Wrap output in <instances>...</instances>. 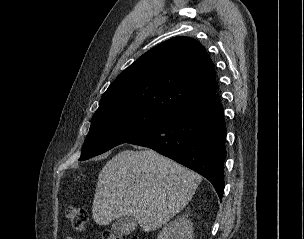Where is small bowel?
Returning a JSON list of instances; mask_svg holds the SVG:
<instances>
[{
	"mask_svg": "<svg viewBox=\"0 0 304 239\" xmlns=\"http://www.w3.org/2000/svg\"><path fill=\"white\" fill-rule=\"evenodd\" d=\"M64 239H74L73 237H71L70 235H65Z\"/></svg>",
	"mask_w": 304,
	"mask_h": 239,
	"instance_id": "1",
	"label": "small bowel"
}]
</instances>
